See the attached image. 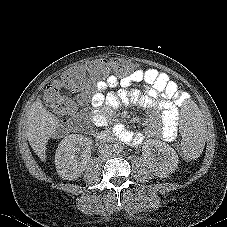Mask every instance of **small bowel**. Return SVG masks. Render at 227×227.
<instances>
[{
	"instance_id": "small-bowel-1",
	"label": "small bowel",
	"mask_w": 227,
	"mask_h": 227,
	"mask_svg": "<svg viewBox=\"0 0 227 227\" xmlns=\"http://www.w3.org/2000/svg\"><path fill=\"white\" fill-rule=\"evenodd\" d=\"M113 88H119L120 92L109 93ZM78 99L82 104H91L92 120L96 126L107 125L112 110L120 102L135 104L151 111L152 116L144 134L132 131L122 123L113 127V134L119 140L139 145L145 137H157L167 142L175 140L178 132V106L184 102L185 96L166 73L154 68H137L125 76L109 75L98 80L93 92L86 88Z\"/></svg>"
}]
</instances>
